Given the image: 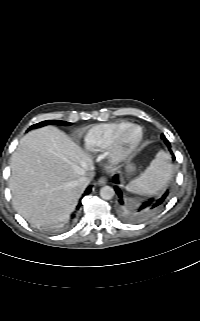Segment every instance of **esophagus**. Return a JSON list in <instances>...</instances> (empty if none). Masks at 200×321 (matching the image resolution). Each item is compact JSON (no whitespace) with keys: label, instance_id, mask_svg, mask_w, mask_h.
Wrapping results in <instances>:
<instances>
[{"label":"esophagus","instance_id":"esophagus-1","mask_svg":"<svg viewBox=\"0 0 200 321\" xmlns=\"http://www.w3.org/2000/svg\"><path fill=\"white\" fill-rule=\"evenodd\" d=\"M107 181H108L107 178L105 176H102V177L99 178L98 184L99 185H105L107 183Z\"/></svg>","mask_w":200,"mask_h":321}]
</instances>
